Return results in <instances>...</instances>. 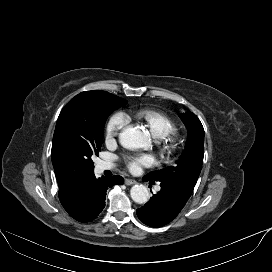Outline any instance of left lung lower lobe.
Masks as SVG:
<instances>
[{
	"label": "left lung lower lobe",
	"mask_w": 272,
	"mask_h": 272,
	"mask_svg": "<svg viewBox=\"0 0 272 272\" xmlns=\"http://www.w3.org/2000/svg\"><path fill=\"white\" fill-rule=\"evenodd\" d=\"M145 180H148L144 177ZM161 190L150 201L137 209L138 218L150 227H162L172 221L182 210L190 196L180 189L161 183Z\"/></svg>",
	"instance_id": "left-lung-lower-lobe-1"
}]
</instances>
